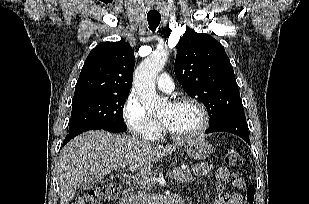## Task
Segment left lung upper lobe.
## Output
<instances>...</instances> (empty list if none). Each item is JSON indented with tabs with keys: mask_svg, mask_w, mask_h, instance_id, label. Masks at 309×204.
Masks as SVG:
<instances>
[{
	"mask_svg": "<svg viewBox=\"0 0 309 204\" xmlns=\"http://www.w3.org/2000/svg\"><path fill=\"white\" fill-rule=\"evenodd\" d=\"M174 67L183 89L206 107L210 124L244 111L232 65L212 36L186 29L177 45Z\"/></svg>",
	"mask_w": 309,
	"mask_h": 204,
	"instance_id": "left-lung-upper-lobe-1",
	"label": "left lung upper lobe"
}]
</instances>
